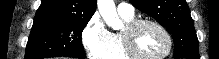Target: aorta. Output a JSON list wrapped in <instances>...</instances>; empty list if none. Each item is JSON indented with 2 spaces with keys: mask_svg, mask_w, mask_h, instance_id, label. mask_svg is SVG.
Masks as SVG:
<instances>
[{
  "mask_svg": "<svg viewBox=\"0 0 219 59\" xmlns=\"http://www.w3.org/2000/svg\"><path fill=\"white\" fill-rule=\"evenodd\" d=\"M97 6L100 15L109 27L118 29L122 25L116 12L114 0H98Z\"/></svg>",
  "mask_w": 219,
  "mask_h": 59,
  "instance_id": "1",
  "label": "aorta"
}]
</instances>
